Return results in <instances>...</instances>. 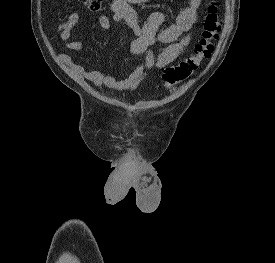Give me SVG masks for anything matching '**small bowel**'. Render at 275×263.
<instances>
[{"label": "small bowel", "instance_id": "small-bowel-1", "mask_svg": "<svg viewBox=\"0 0 275 263\" xmlns=\"http://www.w3.org/2000/svg\"><path fill=\"white\" fill-rule=\"evenodd\" d=\"M148 1L113 0L110 5L111 15H102L99 18V25L104 31L114 30L121 24L133 31L134 37L129 43L130 52L141 55L143 59L128 76L118 79L106 70H87L75 63L66 53L58 54L59 61L75 75L90 81L96 87L116 91L136 89L150 70L164 69L185 51L197 20V10L201 4V0H190L189 5L180 11L174 23L162 27L166 17V13L162 10L152 12L144 22H141L134 5ZM79 18V13L73 12L58 27L64 47L72 51L84 49L83 42L71 38ZM156 42L166 45L157 56L149 50V47Z\"/></svg>", "mask_w": 275, "mask_h": 263}]
</instances>
